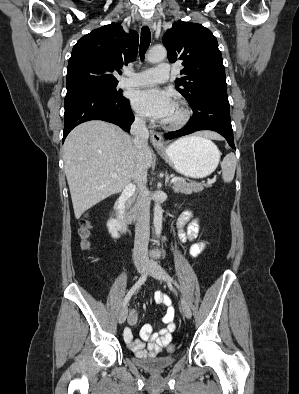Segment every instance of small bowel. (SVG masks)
<instances>
[{"label":"small bowel","mask_w":299,"mask_h":394,"mask_svg":"<svg viewBox=\"0 0 299 394\" xmlns=\"http://www.w3.org/2000/svg\"><path fill=\"white\" fill-rule=\"evenodd\" d=\"M192 213L189 211L184 212L178 219V233L182 242H193L190 247V254L197 256L200 254L204 247V241H197L199 234V226L197 220H191ZM154 300L166 308L163 322L165 327L158 332L154 331L151 324H145L141 327L139 338L134 339L130 327L124 331V339L130 349L137 357L147 358L156 357L162 353L172 340L173 332L176 329L175 325V308L171 298L163 291L158 290L154 294ZM138 320L137 311L134 308L129 310L128 323L130 326L135 325Z\"/></svg>","instance_id":"c3829d8e"}]
</instances>
